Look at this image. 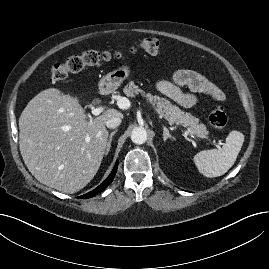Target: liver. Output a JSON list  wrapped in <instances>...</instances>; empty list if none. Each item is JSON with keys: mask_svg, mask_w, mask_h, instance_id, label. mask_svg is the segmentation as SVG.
Wrapping results in <instances>:
<instances>
[{"mask_svg": "<svg viewBox=\"0 0 269 269\" xmlns=\"http://www.w3.org/2000/svg\"><path fill=\"white\" fill-rule=\"evenodd\" d=\"M122 117L114 108L87 121L76 97L49 88L19 118V146L31 174L42 184L73 194L96 175L108 140L106 122Z\"/></svg>", "mask_w": 269, "mask_h": 269, "instance_id": "liver-1", "label": "liver"}]
</instances>
